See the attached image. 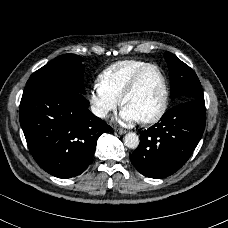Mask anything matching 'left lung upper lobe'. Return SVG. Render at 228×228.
Masks as SVG:
<instances>
[{
    "label": "left lung upper lobe",
    "instance_id": "5c2ea615",
    "mask_svg": "<svg viewBox=\"0 0 228 228\" xmlns=\"http://www.w3.org/2000/svg\"><path fill=\"white\" fill-rule=\"evenodd\" d=\"M173 98L183 97L184 101L204 100L203 90L196 73L170 52L165 53Z\"/></svg>",
    "mask_w": 228,
    "mask_h": 228
}]
</instances>
